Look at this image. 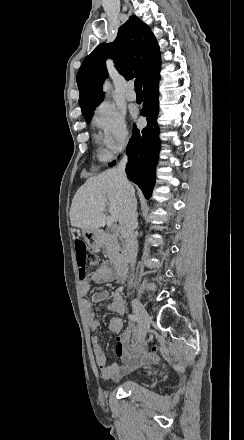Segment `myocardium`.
Wrapping results in <instances>:
<instances>
[{"instance_id": "myocardium-1", "label": "myocardium", "mask_w": 244, "mask_h": 440, "mask_svg": "<svg viewBox=\"0 0 244 440\" xmlns=\"http://www.w3.org/2000/svg\"><path fill=\"white\" fill-rule=\"evenodd\" d=\"M164 182L169 183V179L165 180Z\"/></svg>"}]
</instances>
